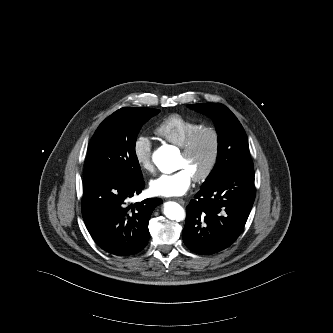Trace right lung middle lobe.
<instances>
[{"label":"right lung middle lobe","mask_w":333,"mask_h":333,"mask_svg":"<svg viewBox=\"0 0 333 333\" xmlns=\"http://www.w3.org/2000/svg\"><path fill=\"white\" fill-rule=\"evenodd\" d=\"M160 110L124 107L105 119L89 144L84 176H115L143 180L135 153L142 125Z\"/></svg>","instance_id":"1"}]
</instances>
